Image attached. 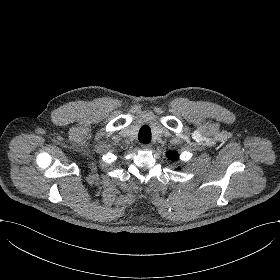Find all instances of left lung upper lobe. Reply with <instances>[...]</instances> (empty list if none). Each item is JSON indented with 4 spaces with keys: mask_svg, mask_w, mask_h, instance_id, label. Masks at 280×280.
<instances>
[{
    "mask_svg": "<svg viewBox=\"0 0 280 280\" xmlns=\"http://www.w3.org/2000/svg\"><path fill=\"white\" fill-rule=\"evenodd\" d=\"M167 155H168V157H170L173 160H175L177 158L176 152H168Z\"/></svg>",
    "mask_w": 280,
    "mask_h": 280,
    "instance_id": "1",
    "label": "left lung upper lobe"
}]
</instances>
